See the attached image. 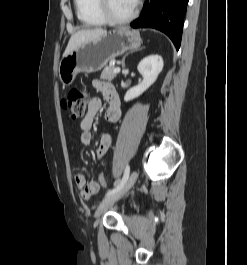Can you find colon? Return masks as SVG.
<instances>
[{
  "mask_svg": "<svg viewBox=\"0 0 247 265\" xmlns=\"http://www.w3.org/2000/svg\"><path fill=\"white\" fill-rule=\"evenodd\" d=\"M89 96L87 91L79 88L72 89L68 95L62 100V106L66 109L72 119L81 118L87 109ZM99 184L103 188L108 187V179L103 171L98 176Z\"/></svg>",
  "mask_w": 247,
  "mask_h": 265,
  "instance_id": "1",
  "label": "colon"
}]
</instances>
